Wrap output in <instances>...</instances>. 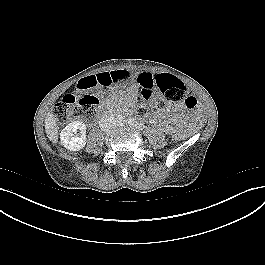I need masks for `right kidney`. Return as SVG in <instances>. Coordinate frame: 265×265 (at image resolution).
I'll use <instances>...</instances> for the list:
<instances>
[{
  "label": "right kidney",
  "mask_w": 265,
  "mask_h": 265,
  "mask_svg": "<svg viewBox=\"0 0 265 265\" xmlns=\"http://www.w3.org/2000/svg\"><path fill=\"white\" fill-rule=\"evenodd\" d=\"M80 130V136L74 133ZM62 145L70 151H79L86 145V125L81 121H74L66 125L60 133Z\"/></svg>",
  "instance_id": "obj_1"
}]
</instances>
